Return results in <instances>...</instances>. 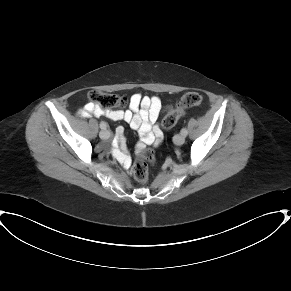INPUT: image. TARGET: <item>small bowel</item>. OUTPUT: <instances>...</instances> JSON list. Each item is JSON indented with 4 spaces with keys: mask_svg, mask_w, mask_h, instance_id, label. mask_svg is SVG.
Wrapping results in <instances>:
<instances>
[{
    "mask_svg": "<svg viewBox=\"0 0 291 291\" xmlns=\"http://www.w3.org/2000/svg\"><path fill=\"white\" fill-rule=\"evenodd\" d=\"M161 108L162 104L158 97L142 96L136 93L131 96L129 108L126 110L107 109L102 111L97 106L89 103L81 107L78 114L82 117H88L92 114L96 116L104 115L113 121H125L132 129L137 130L140 134L141 142L137 144V148L141 149L145 147V145L152 144L155 138L160 137L162 134L157 123ZM117 131L121 134L123 129L119 127ZM118 146L122 147L121 152L116 150ZM113 150L123 166L128 169L131 161L124 141L119 139L114 142Z\"/></svg>",
    "mask_w": 291,
    "mask_h": 291,
    "instance_id": "1",
    "label": "small bowel"
}]
</instances>
